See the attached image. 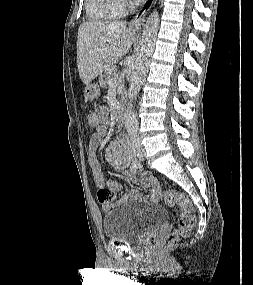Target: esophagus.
<instances>
[{"mask_svg":"<svg viewBox=\"0 0 253 285\" xmlns=\"http://www.w3.org/2000/svg\"><path fill=\"white\" fill-rule=\"evenodd\" d=\"M154 3V0H145L142 7L137 12L136 16L132 19L130 26L134 30H139L141 27V22L145 15L148 13V11L151 9L152 5Z\"/></svg>","mask_w":253,"mask_h":285,"instance_id":"34e87169","label":"esophagus"}]
</instances>
